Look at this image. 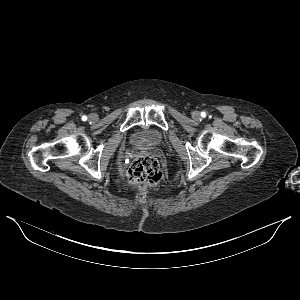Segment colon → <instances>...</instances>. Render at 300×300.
<instances>
[{
    "instance_id": "obj_1",
    "label": "colon",
    "mask_w": 300,
    "mask_h": 300,
    "mask_svg": "<svg viewBox=\"0 0 300 300\" xmlns=\"http://www.w3.org/2000/svg\"><path fill=\"white\" fill-rule=\"evenodd\" d=\"M161 176L162 173L158 161L149 155L134 159L127 172L130 184L142 189L155 186L161 179Z\"/></svg>"
}]
</instances>
